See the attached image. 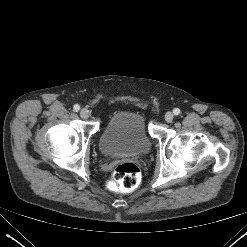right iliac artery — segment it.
Instances as JSON below:
<instances>
[{
	"label": "right iliac artery",
	"instance_id": "1",
	"mask_svg": "<svg viewBox=\"0 0 247 247\" xmlns=\"http://www.w3.org/2000/svg\"><path fill=\"white\" fill-rule=\"evenodd\" d=\"M74 111L78 112L80 110V106L78 104L74 105Z\"/></svg>",
	"mask_w": 247,
	"mask_h": 247
}]
</instances>
